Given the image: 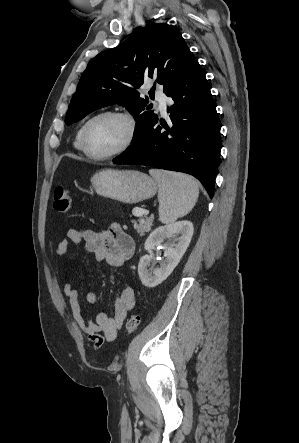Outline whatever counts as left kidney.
Segmentation results:
<instances>
[{
  "mask_svg": "<svg viewBox=\"0 0 299 443\" xmlns=\"http://www.w3.org/2000/svg\"><path fill=\"white\" fill-rule=\"evenodd\" d=\"M193 232V224L187 220L161 226L151 232L145 241V250L149 252L155 246L161 245L162 242L166 241V244L163 246L166 259L159 268L149 271L147 268L150 266L152 257L148 254L141 257L138 265V274L144 286L155 287L172 273L186 252Z\"/></svg>",
  "mask_w": 299,
  "mask_h": 443,
  "instance_id": "left-kidney-1",
  "label": "left kidney"
}]
</instances>
